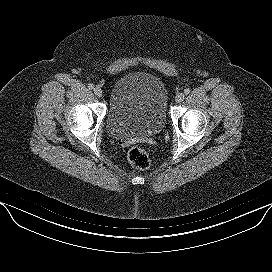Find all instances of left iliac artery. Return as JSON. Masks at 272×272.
Wrapping results in <instances>:
<instances>
[{"instance_id": "44dca946", "label": "left iliac artery", "mask_w": 272, "mask_h": 272, "mask_svg": "<svg viewBox=\"0 0 272 272\" xmlns=\"http://www.w3.org/2000/svg\"><path fill=\"white\" fill-rule=\"evenodd\" d=\"M190 89L189 88H186L185 90H184V93L186 94V95H188L189 93H190Z\"/></svg>"}]
</instances>
